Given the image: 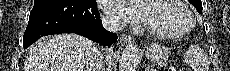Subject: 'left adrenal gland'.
Here are the masks:
<instances>
[{
    "label": "left adrenal gland",
    "instance_id": "a2214340",
    "mask_svg": "<svg viewBox=\"0 0 230 71\" xmlns=\"http://www.w3.org/2000/svg\"><path fill=\"white\" fill-rule=\"evenodd\" d=\"M150 66L148 65L145 69V71H149Z\"/></svg>",
    "mask_w": 230,
    "mask_h": 71
}]
</instances>
